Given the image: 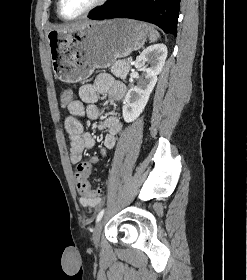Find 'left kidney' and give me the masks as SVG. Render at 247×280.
Returning a JSON list of instances; mask_svg holds the SVG:
<instances>
[{
  "label": "left kidney",
  "mask_w": 247,
  "mask_h": 280,
  "mask_svg": "<svg viewBox=\"0 0 247 280\" xmlns=\"http://www.w3.org/2000/svg\"><path fill=\"white\" fill-rule=\"evenodd\" d=\"M166 58L167 47L161 43L147 47L138 57L135 67L144 72V78L139 80L136 86L131 87L125 96L122 108L125 122H133L143 112ZM146 62L149 67L144 66Z\"/></svg>",
  "instance_id": "1"
}]
</instances>
